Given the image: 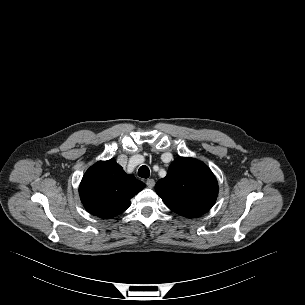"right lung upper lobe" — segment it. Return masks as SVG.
Returning a JSON list of instances; mask_svg holds the SVG:
<instances>
[{
	"instance_id": "cb5924a9",
	"label": "right lung upper lobe",
	"mask_w": 305,
	"mask_h": 305,
	"mask_svg": "<svg viewBox=\"0 0 305 305\" xmlns=\"http://www.w3.org/2000/svg\"><path fill=\"white\" fill-rule=\"evenodd\" d=\"M145 184L126 174L114 159L99 161L83 176L79 193L85 209L100 218H113L125 211L130 199Z\"/></svg>"
}]
</instances>
